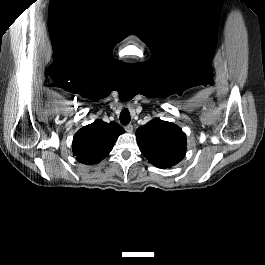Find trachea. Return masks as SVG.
Listing matches in <instances>:
<instances>
[{"mask_svg": "<svg viewBox=\"0 0 265 265\" xmlns=\"http://www.w3.org/2000/svg\"><path fill=\"white\" fill-rule=\"evenodd\" d=\"M130 113L128 111L127 108H124L121 113H120V122L123 125H128V123L130 122Z\"/></svg>", "mask_w": 265, "mask_h": 265, "instance_id": "trachea-1", "label": "trachea"}]
</instances>
